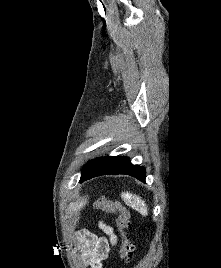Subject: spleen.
I'll return each instance as SVG.
<instances>
[{"label":"spleen","mask_w":221,"mask_h":268,"mask_svg":"<svg viewBox=\"0 0 221 268\" xmlns=\"http://www.w3.org/2000/svg\"><path fill=\"white\" fill-rule=\"evenodd\" d=\"M122 199L126 205L138 211L141 215L146 216L148 214V209L145 202L138 196L133 195L129 192H124L121 194Z\"/></svg>","instance_id":"obj_1"}]
</instances>
